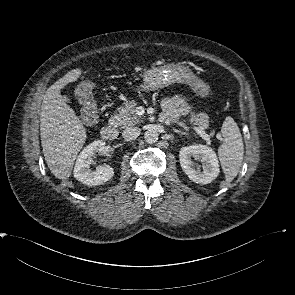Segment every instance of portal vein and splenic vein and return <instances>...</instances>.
<instances>
[{"mask_svg": "<svg viewBox=\"0 0 295 295\" xmlns=\"http://www.w3.org/2000/svg\"><path fill=\"white\" fill-rule=\"evenodd\" d=\"M193 129L195 130V132L200 135V137H202L204 140L209 141L210 140V135H208L207 133H205L203 130H201L198 127H193Z\"/></svg>", "mask_w": 295, "mask_h": 295, "instance_id": "18ae733b", "label": "portal vein and splenic vein"}]
</instances>
